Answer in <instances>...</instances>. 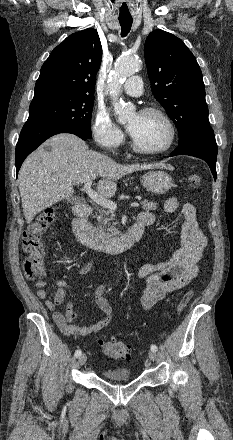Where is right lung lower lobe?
<instances>
[{
  "label": "right lung lower lobe",
  "instance_id": "right-lung-lower-lobe-1",
  "mask_svg": "<svg viewBox=\"0 0 233 440\" xmlns=\"http://www.w3.org/2000/svg\"><path fill=\"white\" fill-rule=\"evenodd\" d=\"M59 133H72L83 140L89 139L82 132L67 125L26 122L16 145V171L18 172L24 159L49 137Z\"/></svg>",
  "mask_w": 233,
  "mask_h": 440
}]
</instances>
